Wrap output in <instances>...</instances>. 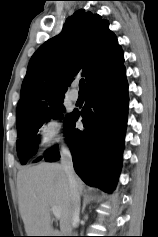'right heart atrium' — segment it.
<instances>
[{
	"mask_svg": "<svg viewBox=\"0 0 158 237\" xmlns=\"http://www.w3.org/2000/svg\"><path fill=\"white\" fill-rule=\"evenodd\" d=\"M38 137L41 150L49 153L56 147L65 143L61 118L57 114L47 115L38 128Z\"/></svg>",
	"mask_w": 158,
	"mask_h": 237,
	"instance_id": "d8ad5b80",
	"label": "right heart atrium"
}]
</instances>
